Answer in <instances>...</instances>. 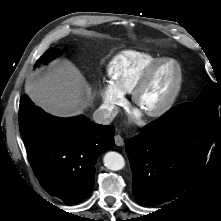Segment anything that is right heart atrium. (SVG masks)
Here are the masks:
<instances>
[{"mask_svg":"<svg viewBox=\"0 0 221 221\" xmlns=\"http://www.w3.org/2000/svg\"><path fill=\"white\" fill-rule=\"evenodd\" d=\"M103 107L106 112L113 115L118 108L124 104L125 97L122 92L117 90L111 83H104L100 90Z\"/></svg>","mask_w":221,"mask_h":221,"instance_id":"1","label":"right heart atrium"}]
</instances>
